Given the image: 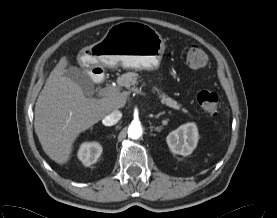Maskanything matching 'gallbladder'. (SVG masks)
<instances>
[{
    "label": "gallbladder",
    "instance_id": "bac80fb5",
    "mask_svg": "<svg viewBox=\"0 0 277 218\" xmlns=\"http://www.w3.org/2000/svg\"><path fill=\"white\" fill-rule=\"evenodd\" d=\"M63 75L66 78L76 82L82 88L85 95H90L94 84L90 76L85 71L78 67L69 66L64 70Z\"/></svg>",
    "mask_w": 277,
    "mask_h": 218
}]
</instances>
